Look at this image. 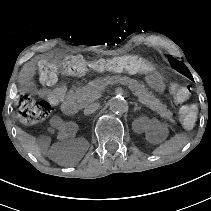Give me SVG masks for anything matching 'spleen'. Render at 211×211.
<instances>
[{
	"mask_svg": "<svg viewBox=\"0 0 211 211\" xmlns=\"http://www.w3.org/2000/svg\"><path fill=\"white\" fill-rule=\"evenodd\" d=\"M190 142V137L183 133H176L168 140L161 143L152 151L155 156H167L179 151L184 145Z\"/></svg>",
	"mask_w": 211,
	"mask_h": 211,
	"instance_id": "3e777b00",
	"label": "spleen"
}]
</instances>
